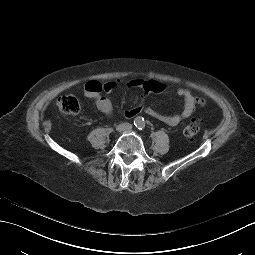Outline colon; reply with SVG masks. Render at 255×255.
Masks as SVG:
<instances>
[{"label":"colon","instance_id":"5ec220e1","mask_svg":"<svg viewBox=\"0 0 255 255\" xmlns=\"http://www.w3.org/2000/svg\"><path fill=\"white\" fill-rule=\"evenodd\" d=\"M55 106L60 113L69 116L77 115L81 109L79 99L73 95H64L59 97L55 102ZM201 128V121L191 119L186 124L183 133L187 138H192L200 132Z\"/></svg>","mask_w":255,"mask_h":255}]
</instances>
